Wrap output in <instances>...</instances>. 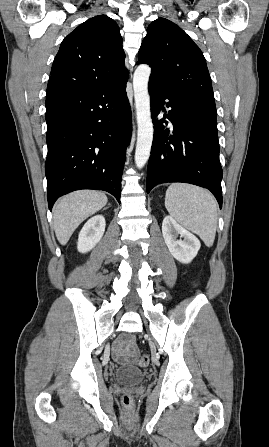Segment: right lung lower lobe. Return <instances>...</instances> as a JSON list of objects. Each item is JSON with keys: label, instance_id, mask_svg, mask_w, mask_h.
<instances>
[{"label": "right lung lower lobe", "instance_id": "right-lung-lower-lobe-1", "mask_svg": "<svg viewBox=\"0 0 269 447\" xmlns=\"http://www.w3.org/2000/svg\"><path fill=\"white\" fill-rule=\"evenodd\" d=\"M128 75L95 88L47 94L45 163L51 210L78 189L105 190L120 203L121 177L132 124Z\"/></svg>", "mask_w": 269, "mask_h": 447}]
</instances>
